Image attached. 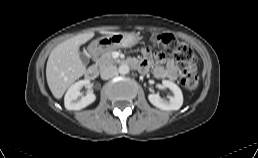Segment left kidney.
<instances>
[{
    "label": "left kidney",
    "instance_id": "5707ae66",
    "mask_svg": "<svg viewBox=\"0 0 258 158\" xmlns=\"http://www.w3.org/2000/svg\"><path fill=\"white\" fill-rule=\"evenodd\" d=\"M164 87L169 88L173 95L169 97V100H165L160 97L158 93L149 94L148 99L150 103L159 109L166 111L179 110L183 104V95L181 89L172 81L163 80Z\"/></svg>",
    "mask_w": 258,
    "mask_h": 158
}]
</instances>
